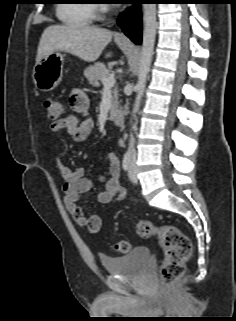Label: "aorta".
<instances>
[{"label":"aorta","instance_id":"762f6f07","mask_svg":"<svg viewBox=\"0 0 236 321\" xmlns=\"http://www.w3.org/2000/svg\"><path fill=\"white\" fill-rule=\"evenodd\" d=\"M156 12V4L143 5L144 31L138 70V80L136 84L137 95L133 105L132 118L139 110L146 87L147 76L150 71V66L154 55V45L157 29Z\"/></svg>","mask_w":236,"mask_h":321}]
</instances>
